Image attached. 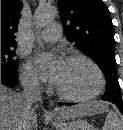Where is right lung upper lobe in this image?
I'll return each instance as SVG.
<instances>
[{
	"label": "right lung upper lobe",
	"mask_w": 123,
	"mask_h": 130,
	"mask_svg": "<svg viewBox=\"0 0 123 130\" xmlns=\"http://www.w3.org/2000/svg\"><path fill=\"white\" fill-rule=\"evenodd\" d=\"M22 7L20 0H1V46L16 47L14 34Z\"/></svg>",
	"instance_id": "obj_1"
}]
</instances>
